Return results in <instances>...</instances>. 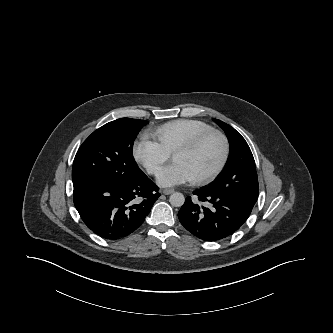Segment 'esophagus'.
I'll use <instances>...</instances> for the list:
<instances>
[{"mask_svg": "<svg viewBox=\"0 0 333 333\" xmlns=\"http://www.w3.org/2000/svg\"><path fill=\"white\" fill-rule=\"evenodd\" d=\"M174 192L173 189H164L162 190V193L165 194V195H170Z\"/></svg>", "mask_w": 333, "mask_h": 333, "instance_id": "esophagus-1", "label": "esophagus"}]
</instances>
